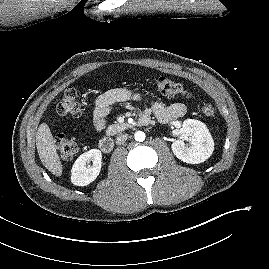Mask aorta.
Instances as JSON below:
<instances>
[{"mask_svg": "<svg viewBox=\"0 0 269 269\" xmlns=\"http://www.w3.org/2000/svg\"><path fill=\"white\" fill-rule=\"evenodd\" d=\"M134 137L136 141L143 142L145 140V133L142 131H137Z\"/></svg>", "mask_w": 269, "mask_h": 269, "instance_id": "aorta-1", "label": "aorta"}]
</instances>
